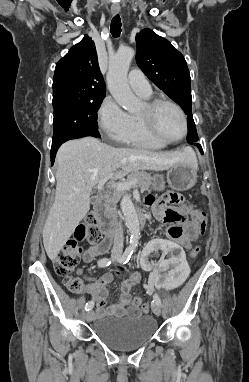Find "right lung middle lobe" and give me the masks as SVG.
Listing matches in <instances>:
<instances>
[{"label":"right lung middle lobe","mask_w":249,"mask_h":382,"mask_svg":"<svg viewBox=\"0 0 249 382\" xmlns=\"http://www.w3.org/2000/svg\"><path fill=\"white\" fill-rule=\"evenodd\" d=\"M104 97L63 103L54 108L52 142L74 134H98L97 110Z\"/></svg>","instance_id":"dd1d6c3e"}]
</instances>
